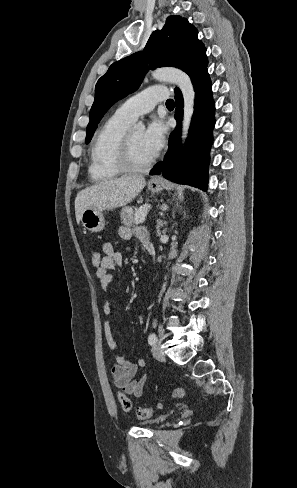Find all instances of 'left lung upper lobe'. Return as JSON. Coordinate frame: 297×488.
Returning <instances> with one entry per match:
<instances>
[{
	"instance_id": "left-lung-upper-lobe-1",
	"label": "left lung upper lobe",
	"mask_w": 297,
	"mask_h": 488,
	"mask_svg": "<svg viewBox=\"0 0 297 488\" xmlns=\"http://www.w3.org/2000/svg\"><path fill=\"white\" fill-rule=\"evenodd\" d=\"M207 65L206 48L197 38V29L186 18L168 17L163 29L152 33L142 52L113 63L98 80L86 130V144L107 110L136 90L149 69L174 66L186 72L193 82L202 73H208Z\"/></svg>"
}]
</instances>
